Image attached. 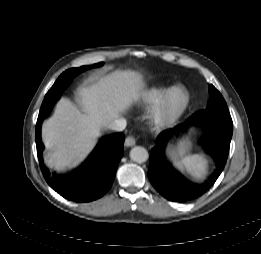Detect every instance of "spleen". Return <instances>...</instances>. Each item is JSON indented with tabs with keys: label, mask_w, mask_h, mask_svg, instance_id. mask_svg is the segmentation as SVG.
Here are the masks:
<instances>
[{
	"label": "spleen",
	"mask_w": 261,
	"mask_h": 254,
	"mask_svg": "<svg viewBox=\"0 0 261 254\" xmlns=\"http://www.w3.org/2000/svg\"><path fill=\"white\" fill-rule=\"evenodd\" d=\"M175 167L192 176L194 179L201 180L207 174V160L202 155H191L180 162H176Z\"/></svg>",
	"instance_id": "spleen-1"
}]
</instances>
